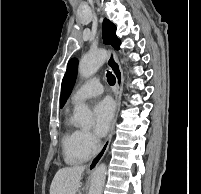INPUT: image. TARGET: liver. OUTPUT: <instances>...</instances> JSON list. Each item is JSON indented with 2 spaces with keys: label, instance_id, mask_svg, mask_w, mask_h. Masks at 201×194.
I'll return each instance as SVG.
<instances>
[{
  "label": "liver",
  "instance_id": "obj_1",
  "mask_svg": "<svg viewBox=\"0 0 201 194\" xmlns=\"http://www.w3.org/2000/svg\"><path fill=\"white\" fill-rule=\"evenodd\" d=\"M84 170L85 166L59 169L52 180L50 194H76Z\"/></svg>",
  "mask_w": 201,
  "mask_h": 194
}]
</instances>
